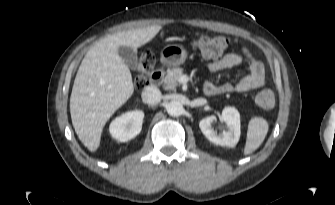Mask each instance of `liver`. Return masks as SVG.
I'll return each mask as SVG.
<instances>
[{
    "instance_id": "1",
    "label": "liver",
    "mask_w": 335,
    "mask_h": 205,
    "mask_svg": "<svg viewBox=\"0 0 335 205\" xmlns=\"http://www.w3.org/2000/svg\"><path fill=\"white\" fill-rule=\"evenodd\" d=\"M162 26L154 25L110 35L83 58L70 97L75 132L89 151L98 149L103 127L133 94L132 75L118 54L120 46L137 48L151 41Z\"/></svg>"
}]
</instances>
